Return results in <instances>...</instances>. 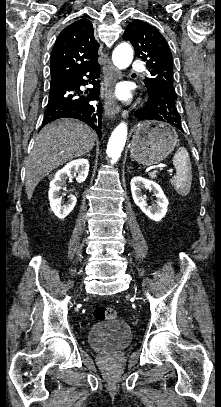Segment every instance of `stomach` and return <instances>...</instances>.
Wrapping results in <instances>:
<instances>
[{
	"label": "stomach",
	"instance_id": "obj_1",
	"mask_svg": "<svg viewBox=\"0 0 221 407\" xmlns=\"http://www.w3.org/2000/svg\"><path fill=\"white\" fill-rule=\"evenodd\" d=\"M178 135L167 123L143 121L134 128L131 157L139 164L150 166L163 161L177 146Z\"/></svg>",
	"mask_w": 221,
	"mask_h": 407
}]
</instances>
